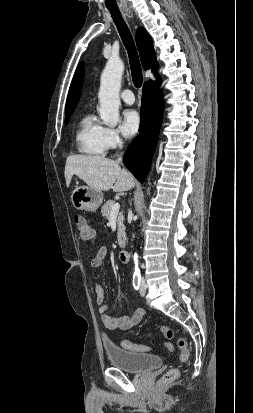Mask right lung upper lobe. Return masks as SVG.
I'll return each mask as SVG.
<instances>
[{
    "mask_svg": "<svg viewBox=\"0 0 253 413\" xmlns=\"http://www.w3.org/2000/svg\"><path fill=\"white\" fill-rule=\"evenodd\" d=\"M136 44L140 54L142 66L145 69H157V61L155 57V51L152 44V39L147 31L140 27L136 32ZM83 79L82 64H80L75 72L73 80L71 82L68 97L65 106V116L72 115L79 97Z\"/></svg>",
    "mask_w": 253,
    "mask_h": 413,
    "instance_id": "1",
    "label": "right lung upper lobe"
}]
</instances>
